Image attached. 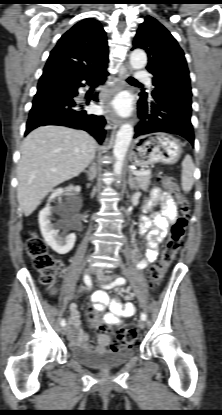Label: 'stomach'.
<instances>
[{
  "label": "stomach",
  "instance_id": "1",
  "mask_svg": "<svg viewBox=\"0 0 222 415\" xmlns=\"http://www.w3.org/2000/svg\"><path fill=\"white\" fill-rule=\"evenodd\" d=\"M182 154L181 143L173 136L156 132L135 139L129 160L135 166L154 163H175Z\"/></svg>",
  "mask_w": 222,
  "mask_h": 415
}]
</instances>
